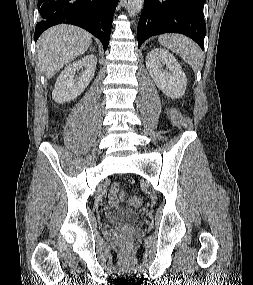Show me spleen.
Wrapping results in <instances>:
<instances>
[{"label": "spleen", "instance_id": "obj_1", "mask_svg": "<svg viewBox=\"0 0 253 285\" xmlns=\"http://www.w3.org/2000/svg\"><path fill=\"white\" fill-rule=\"evenodd\" d=\"M161 45L167 47L197 71L203 64V54L200 47L188 37L178 34H163L158 37Z\"/></svg>", "mask_w": 253, "mask_h": 285}]
</instances>
